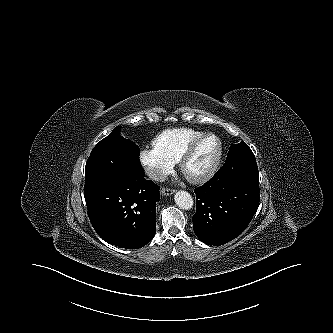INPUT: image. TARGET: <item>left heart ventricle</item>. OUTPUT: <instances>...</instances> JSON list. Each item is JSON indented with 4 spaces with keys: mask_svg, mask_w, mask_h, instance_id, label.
<instances>
[{
    "mask_svg": "<svg viewBox=\"0 0 333 333\" xmlns=\"http://www.w3.org/2000/svg\"><path fill=\"white\" fill-rule=\"evenodd\" d=\"M217 151V141L213 138L206 139L197 149L194 156L187 164V174L195 175L205 170L212 162Z\"/></svg>",
    "mask_w": 333,
    "mask_h": 333,
    "instance_id": "obj_1",
    "label": "left heart ventricle"
}]
</instances>
